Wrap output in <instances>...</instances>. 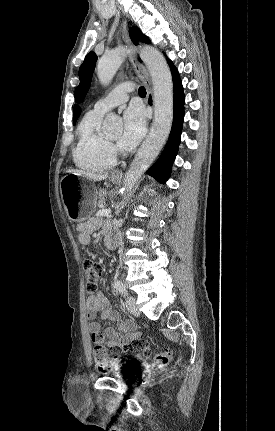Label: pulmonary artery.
<instances>
[{"label":"pulmonary artery","mask_w":275,"mask_h":431,"mask_svg":"<svg viewBox=\"0 0 275 431\" xmlns=\"http://www.w3.org/2000/svg\"><path fill=\"white\" fill-rule=\"evenodd\" d=\"M133 90V86L130 82H123L116 86L106 96L100 98L94 109L105 113L108 110L125 103L129 99V93Z\"/></svg>","instance_id":"pulmonary-artery-1"}]
</instances>
